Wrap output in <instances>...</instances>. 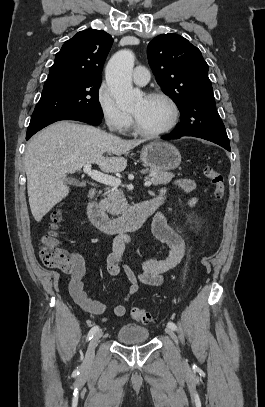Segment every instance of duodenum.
Here are the masks:
<instances>
[{"instance_id":"410a0bca","label":"duodenum","mask_w":265,"mask_h":407,"mask_svg":"<svg viewBox=\"0 0 265 407\" xmlns=\"http://www.w3.org/2000/svg\"><path fill=\"white\" fill-rule=\"evenodd\" d=\"M94 196L95 191L91 190L88 195V217L94 226L107 234H121L140 228L144 221L153 215L163 203V199L159 198L146 200L129 208L123 216L112 219L95 201Z\"/></svg>"}]
</instances>
